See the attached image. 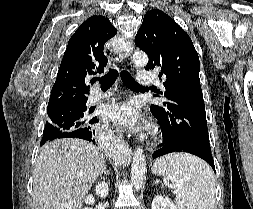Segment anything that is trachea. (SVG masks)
<instances>
[{
    "mask_svg": "<svg viewBox=\"0 0 253 209\" xmlns=\"http://www.w3.org/2000/svg\"><path fill=\"white\" fill-rule=\"evenodd\" d=\"M118 75L119 73L116 69H110L109 72L105 76H102L101 78H95L93 82L98 80L101 85V89L107 90L114 84ZM120 75H121V79L124 85L128 87L129 89L144 88L143 86L139 85L131 76V74L127 72L126 70L121 71Z\"/></svg>",
    "mask_w": 253,
    "mask_h": 209,
    "instance_id": "3493384b",
    "label": "trachea"
}]
</instances>
